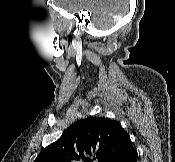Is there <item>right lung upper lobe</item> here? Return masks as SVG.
I'll use <instances>...</instances> for the list:
<instances>
[{"mask_svg":"<svg viewBox=\"0 0 175 162\" xmlns=\"http://www.w3.org/2000/svg\"><path fill=\"white\" fill-rule=\"evenodd\" d=\"M131 146L118 121L88 117L70 126L34 162H112Z\"/></svg>","mask_w":175,"mask_h":162,"instance_id":"1","label":"right lung upper lobe"}]
</instances>
